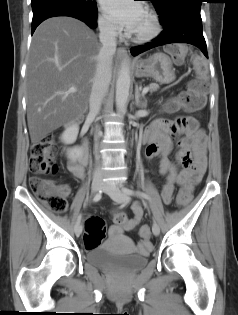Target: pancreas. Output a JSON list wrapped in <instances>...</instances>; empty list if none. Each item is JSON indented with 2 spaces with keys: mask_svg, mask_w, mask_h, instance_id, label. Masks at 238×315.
<instances>
[{
  "mask_svg": "<svg viewBox=\"0 0 238 315\" xmlns=\"http://www.w3.org/2000/svg\"><path fill=\"white\" fill-rule=\"evenodd\" d=\"M149 89H150L151 92L152 91H157V89H159V84H157V83H150L149 84Z\"/></svg>",
  "mask_w": 238,
  "mask_h": 315,
  "instance_id": "cf45deb5",
  "label": "pancreas"
}]
</instances>
